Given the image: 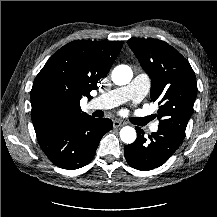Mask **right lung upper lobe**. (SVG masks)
Returning a JSON list of instances; mask_svg holds the SVG:
<instances>
[{
  "instance_id": "right-lung-upper-lobe-1",
  "label": "right lung upper lobe",
  "mask_w": 217,
  "mask_h": 217,
  "mask_svg": "<svg viewBox=\"0 0 217 217\" xmlns=\"http://www.w3.org/2000/svg\"><path fill=\"white\" fill-rule=\"evenodd\" d=\"M123 46L122 41L70 42L49 58L36 76L31 90V117L35 132L73 122L87 116L81 111L83 96L91 99L98 81L105 77ZM46 93L54 94L61 106L60 114L48 120L39 105Z\"/></svg>"
}]
</instances>
